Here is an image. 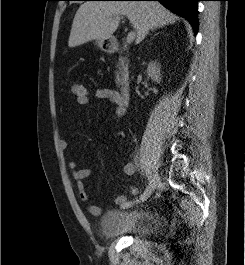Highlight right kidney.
Instances as JSON below:
<instances>
[{"label": "right kidney", "instance_id": "right-kidney-1", "mask_svg": "<svg viewBox=\"0 0 245 265\" xmlns=\"http://www.w3.org/2000/svg\"><path fill=\"white\" fill-rule=\"evenodd\" d=\"M147 75L155 82L160 83L161 74H160V66L156 62L152 61L149 63L147 68Z\"/></svg>", "mask_w": 245, "mask_h": 265}]
</instances>
